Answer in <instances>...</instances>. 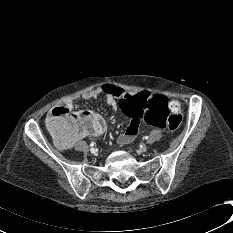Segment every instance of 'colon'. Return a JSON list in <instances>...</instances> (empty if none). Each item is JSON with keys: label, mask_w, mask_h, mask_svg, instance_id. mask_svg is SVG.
Here are the masks:
<instances>
[{"label": "colon", "mask_w": 233, "mask_h": 233, "mask_svg": "<svg viewBox=\"0 0 233 233\" xmlns=\"http://www.w3.org/2000/svg\"><path fill=\"white\" fill-rule=\"evenodd\" d=\"M120 113L127 118L144 121L154 127L176 131L182 123L180 104L161 95H153L148 91L124 93L119 98ZM48 127L55 137L63 135L77 137L95 133L101 128L97 117L88 111L73 115L65 105L55 106L47 121Z\"/></svg>", "instance_id": "obj_1"}]
</instances>
